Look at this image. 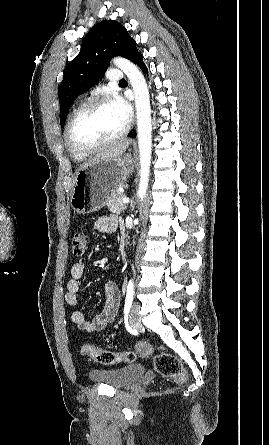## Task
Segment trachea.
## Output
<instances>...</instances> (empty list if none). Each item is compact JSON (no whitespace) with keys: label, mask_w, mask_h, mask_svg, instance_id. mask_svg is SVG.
Here are the masks:
<instances>
[{"label":"trachea","mask_w":269,"mask_h":445,"mask_svg":"<svg viewBox=\"0 0 269 445\" xmlns=\"http://www.w3.org/2000/svg\"><path fill=\"white\" fill-rule=\"evenodd\" d=\"M124 82H126L124 79H122L119 83H124Z\"/></svg>","instance_id":"obj_1"}]
</instances>
